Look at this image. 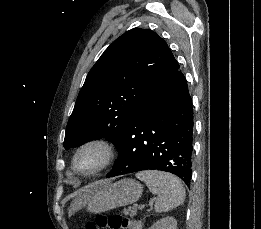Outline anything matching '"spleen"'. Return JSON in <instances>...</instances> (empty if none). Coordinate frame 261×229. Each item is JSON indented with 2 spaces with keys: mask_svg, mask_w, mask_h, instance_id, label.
Segmentation results:
<instances>
[{
  "mask_svg": "<svg viewBox=\"0 0 261 229\" xmlns=\"http://www.w3.org/2000/svg\"><path fill=\"white\" fill-rule=\"evenodd\" d=\"M136 177L146 183L150 193L158 195L155 213H168L184 205L185 187L179 177L165 171H140L136 173Z\"/></svg>",
  "mask_w": 261,
  "mask_h": 229,
  "instance_id": "spleen-1",
  "label": "spleen"
}]
</instances>
